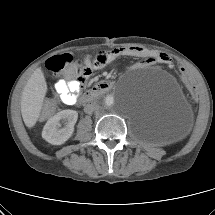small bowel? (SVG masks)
Wrapping results in <instances>:
<instances>
[{"label": "small bowel", "mask_w": 215, "mask_h": 215, "mask_svg": "<svg viewBox=\"0 0 215 215\" xmlns=\"http://www.w3.org/2000/svg\"><path fill=\"white\" fill-rule=\"evenodd\" d=\"M120 57H136L141 58L140 62L132 65V67H140L153 65L156 63H170V57L160 51L151 50L143 47H117L111 50L100 51L93 57H86V71L82 73L72 82H65L59 79L55 84V89L66 105H74L78 100V95L81 92L84 84L89 80L94 71H98Z\"/></svg>", "instance_id": "c3829d8e"}]
</instances>
